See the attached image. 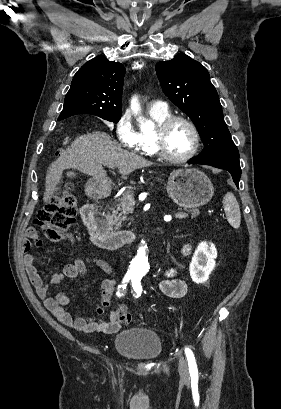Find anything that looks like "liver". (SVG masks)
Here are the masks:
<instances>
[{
	"mask_svg": "<svg viewBox=\"0 0 281 409\" xmlns=\"http://www.w3.org/2000/svg\"><path fill=\"white\" fill-rule=\"evenodd\" d=\"M103 164H108L109 168L117 166L122 178H127V174L135 168L151 166L153 162L134 152L122 150L109 134L101 130L82 134L50 164L45 178L44 202H48L53 196L64 168H77L84 174H90L92 178L108 180Z\"/></svg>",
	"mask_w": 281,
	"mask_h": 409,
	"instance_id": "6515ba94",
	"label": "liver"
}]
</instances>
